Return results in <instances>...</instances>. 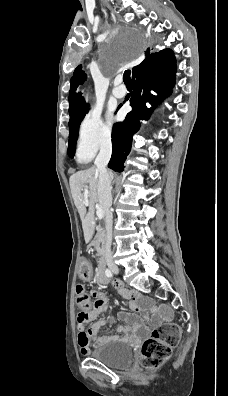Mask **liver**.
I'll return each mask as SVG.
<instances>
[{"label":"liver","mask_w":228,"mask_h":396,"mask_svg":"<svg viewBox=\"0 0 228 396\" xmlns=\"http://www.w3.org/2000/svg\"><path fill=\"white\" fill-rule=\"evenodd\" d=\"M108 173L110 177L113 178L112 172ZM98 180L99 172L96 167L78 171L70 176L69 179L72 197L82 220L86 241H89L93 234L94 204L98 202L102 207L98 193ZM83 189L88 191L87 199H85L84 195L82 194ZM87 207H89L88 213L86 209Z\"/></svg>","instance_id":"liver-1"}]
</instances>
